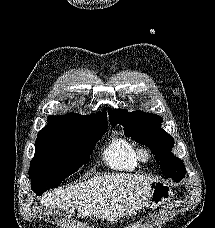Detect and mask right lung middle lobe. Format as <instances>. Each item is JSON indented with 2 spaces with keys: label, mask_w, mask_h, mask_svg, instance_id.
Wrapping results in <instances>:
<instances>
[{
  "label": "right lung middle lobe",
  "mask_w": 215,
  "mask_h": 228,
  "mask_svg": "<svg viewBox=\"0 0 215 228\" xmlns=\"http://www.w3.org/2000/svg\"><path fill=\"white\" fill-rule=\"evenodd\" d=\"M107 124L61 128L38 134L29 174L31 188L41 195L89 161L93 148Z\"/></svg>",
  "instance_id": "dd1d6c3e"
}]
</instances>
